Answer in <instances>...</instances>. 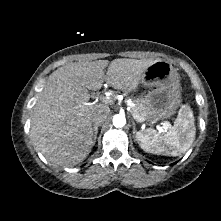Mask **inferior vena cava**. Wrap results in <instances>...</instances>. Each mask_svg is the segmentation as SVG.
Listing matches in <instances>:
<instances>
[{"label":"inferior vena cava","instance_id":"1","mask_svg":"<svg viewBox=\"0 0 221 221\" xmlns=\"http://www.w3.org/2000/svg\"><path fill=\"white\" fill-rule=\"evenodd\" d=\"M91 118L94 125L101 124L106 120L107 114L103 108H98L92 113Z\"/></svg>","mask_w":221,"mask_h":221}]
</instances>
